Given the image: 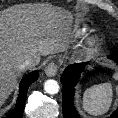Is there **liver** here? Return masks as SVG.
Instances as JSON below:
<instances>
[{"mask_svg": "<svg viewBox=\"0 0 118 118\" xmlns=\"http://www.w3.org/2000/svg\"><path fill=\"white\" fill-rule=\"evenodd\" d=\"M71 16L48 5H21L0 13V107L11 94L27 58L53 55L65 50Z\"/></svg>", "mask_w": 118, "mask_h": 118, "instance_id": "1", "label": "liver"}]
</instances>
